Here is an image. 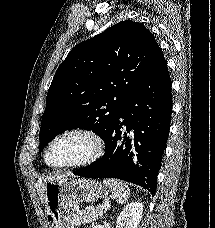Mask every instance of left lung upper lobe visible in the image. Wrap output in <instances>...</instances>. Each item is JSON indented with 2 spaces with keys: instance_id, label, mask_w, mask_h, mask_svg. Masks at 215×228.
<instances>
[{
  "instance_id": "5c2ea615",
  "label": "left lung upper lobe",
  "mask_w": 215,
  "mask_h": 228,
  "mask_svg": "<svg viewBox=\"0 0 215 228\" xmlns=\"http://www.w3.org/2000/svg\"><path fill=\"white\" fill-rule=\"evenodd\" d=\"M160 52L153 34L130 20L76 45L58 67L49 88L39 152L68 129L92 130L105 141L120 108Z\"/></svg>"
}]
</instances>
